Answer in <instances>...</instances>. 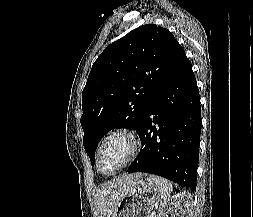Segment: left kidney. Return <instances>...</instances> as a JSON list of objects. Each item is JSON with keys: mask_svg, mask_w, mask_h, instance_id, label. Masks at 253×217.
Returning <instances> with one entry per match:
<instances>
[{"mask_svg": "<svg viewBox=\"0 0 253 217\" xmlns=\"http://www.w3.org/2000/svg\"><path fill=\"white\" fill-rule=\"evenodd\" d=\"M191 203L192 196L189 193H178L161 205L159 217H168V214L173 212H178V217H188L187 213L189 212Z\"/></svg>", "mask_w": 253, "mask_h": 217, "instance_id": "obj_1", "label": "left kidney"}]
</instances>
